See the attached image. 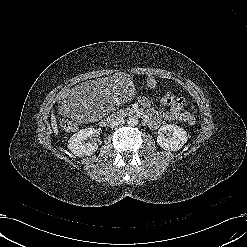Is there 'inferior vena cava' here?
<instances>
[{"mask_svg":"<svg viewBox=\"0 0 247 247\" xmlns=\"http://www.w3.org/2000/svg\"><path fill=\"white\" fill-rule=\"evenodd\" d=\"M124 122H125L124 121V118L123 117H120L117 114H112L109 117V125H110V127H116V126L123 125Z\"/></svg>","mask_w":247,"mask_h":247,"instance_id":"inferior-vena-cava-1","label":"inferior vena cava"}]
</instances>
